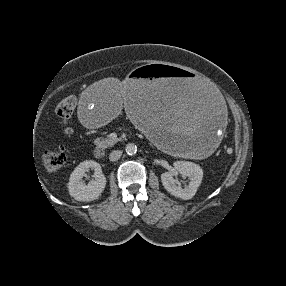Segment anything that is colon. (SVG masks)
<instances>
[{
	"instance_id": "obj_1",
	"label": "colon",
	"mask_w": 286,
	"mask_h": 286,
	"mask_svg": "<svg viewBox=\"0 0 286 286\" xmlns=\"http://www.w3.org/2000/svg\"><path fill=\"white\" fill-rule=\"evenodd\" d=\"M76 100L74 96H67L60 100L56 106V115L59 120L67 122L72 117L76 108ZM65 132L69 134L70 128H65ZM42 162L48 171L56 172L65 164L66 153L61 148L45 151L42 155Z\"/></svg>"
}]
</instances>
